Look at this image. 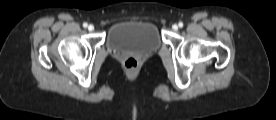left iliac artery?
Segmentation results:
<instances>
[{
  "mask_svg": "<svg viewBox=\"0 0 276 120\" xmlns=\"http://www.w3.org/2000/svg\"><path fill=\"white\" fill-rule=\"evenodd\" d=\"M179 27L182 28L183 27V23L182 22H179Z\"/></svg>",
  "mask_w": 276,
  "mask_h": 120,
  "instance_id": "obj_1",
  "label": "left iliac artery"
}]
</instances>
